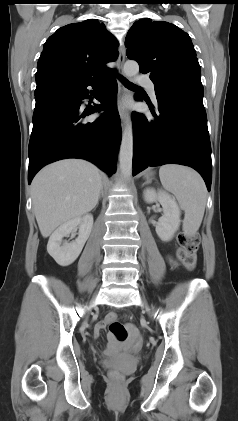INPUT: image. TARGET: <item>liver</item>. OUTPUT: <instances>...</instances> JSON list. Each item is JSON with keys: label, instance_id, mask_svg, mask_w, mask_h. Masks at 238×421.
Returning <instances> with one entry per match:
<instances>
[{"label": "liver", "instance_id": "6515ba94", "mask_svg": "<svg viewBox=\"0 0 238 421\" xmlns=\"http://www.w3.org/2000/svg\"><path fill=\"white\" fill-rule=\"evenodd\" d=\"M101 188L99 169L85 160H61L44 167L32 182L33 209L42 236L90 212Z\"/></svg>", "mask_w": 238, "mask_h": 421}]
</instances>
